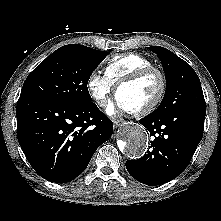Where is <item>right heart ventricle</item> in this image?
Returning a JSON list of instances; mask_svg holds the SVG:
<instances>
[{"label": "right heart ventricle", "mask_w": 221, "mask_h": 221, "mask_svg": "<svg viewBox=\"0 0 221 221\" xmlns=\"http://www.w3.org/2000/svg\"><path fill=\"white\" fill-rule=\"evenodd\" d=\"M154 66L153 62L139 53H125L111 57L105 66V75L113 85L142 68Z\"/></svg>", "instance_id": "right-heart-ventricle-1"}]
</instances>
